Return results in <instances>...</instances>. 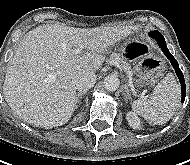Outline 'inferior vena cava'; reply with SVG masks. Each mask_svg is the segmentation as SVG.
I'll use <instances>...</instances> for the list:
<instances>
[{
    "instance_id": "obj_1",
    "label": "inferior vena cava",
    "mask_w": 190,
    "mask_h": 165,
    "mask_svg": "<svg viewBox=\"0 0 190 165\" xmlns=\"http://www.w3.org/2000/svg\"><path fill=\"white\" fill-rule=\"evenodd\" d=\"M96 75L94 72H84L79 75L75 80L76 89L80 92H87L96 83Z\"/></svg>"
}]
</instances>
